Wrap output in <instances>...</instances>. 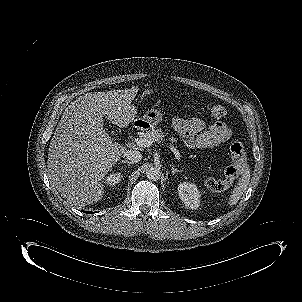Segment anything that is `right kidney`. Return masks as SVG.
<instances>
[{
    "label": "right kidney",
    "mask_w": 302,
    "mask_h": 302,
    "mask_svg": "<svg viewBox=\"0 0 302 302\" xmlns=\"http://www.w3.org/2000/svg\"><path fill=\"white\" fill-rule=\"evenodd\" d=\"M122 175L120 172H117V173H113V174H110L106 180H105V183L109 186H113V185H116L118 184L121 179H122Z\"/></svg>",
    "instance_id": "right-kidney-1"
}]
</instances>
